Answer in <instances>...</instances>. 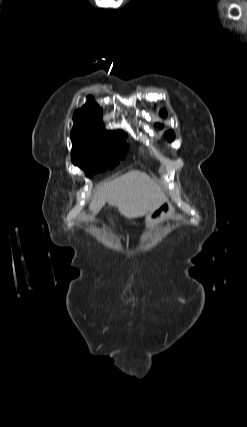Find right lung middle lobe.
Masks as SVG:
<instances>
[{
  "mask_svg": "<svg viewBox=\"0 0 247 427\" xmlns=\"http://www.w3.org/2000/svg\"><path fill=\"white\" fill-rule=\"evenodd\" d=\"M73 163L83 169L87 177L114 168L125 158L128 145L121 132L74 125L71 131Z\"/></svg>",
  "mask_w": 247,
  "mask_h": 427,
  "instance_id": "obj_1",
  "label": "right lung middle lobe"
}]
</instances>
